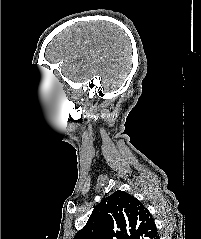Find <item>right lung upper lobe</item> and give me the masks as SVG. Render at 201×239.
Listing matches in <instances>:
<instances>
[{
    "label": "right lung upper lobe",
    "mask_w": 201,
    "mask_h": 239,
    "mask_svg": "<svg viewBox=\"0 0 201 239\" xmlns=\"http://www.w3.org/2000/svg\"><path fill=\"white\" fill-rule=\"evenodd\" d=\"M157 235L153 218L141 202L116 191L95 207L74 239H156Z\"/></svg>",
    "instance_id": "right-lung-upper-lobe-1"
}]
</instances>
